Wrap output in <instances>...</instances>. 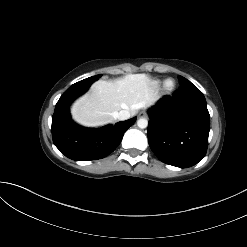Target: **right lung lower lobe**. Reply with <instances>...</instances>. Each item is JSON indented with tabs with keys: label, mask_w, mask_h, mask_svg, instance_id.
I'll return each instance as SVG.
<instances>
[{
	"label": "right lung lower lobe",
	"mask_w": 247,
	"mask_h": 247,
	"mask_svg": "<svg viewBox=\"0 0 247 247\" xmlns=\"http://www.w3.org/2000/svg\"><path fill=\"white\" fill-rule=\"evenodd\" d=\"M92 83L77 82L69 87L58 100L52 117V138L55 146L66 157L77 160H97L108 156L120 144L126 130L136 117L116 123L114 126L89 129L71 120L69 106Z\"/></svg>",
	"instance_id": "obj_1"
}]
</instances>
